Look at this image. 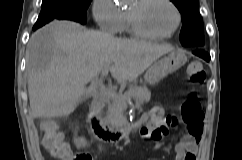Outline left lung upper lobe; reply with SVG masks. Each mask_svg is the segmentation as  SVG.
Wrapping results in <instances>:
<instances>
[{"mask_svg": "<svg viewBox=\"0 0 242 160\" xmlns=\"http://www.w3.org/2000/svg\"><path fill=\"white\" fill-rule=\"evenodd\" d=\"M182 18L181 44L185 47L204 48V26L199 13V0H171Z\"/></svg>", "mask_w": 242, "mask_h": 160, "instance_id": "left-lung-upper-lobe-1", "label": "left lung upper lobe"}]
</instances>
